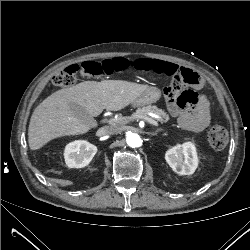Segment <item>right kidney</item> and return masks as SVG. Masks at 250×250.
Returning <instances> with one entry per match:
<instances>
[{
    "label": "right kidney",
    "instance_id": "1",
    "mask_svg": "<svg viewBox=\"0 0 250 250\" xmlns=\"http://www.w3.org/2000/svg\"><path fill=\"white\" fill-rule=\"evenodd\" d=\"M96 153L95 145L85 140H76L65 147L64 158L68 167L82 168L91 162Z\"/></svg>",
    "mask_w": 250,
    "mask_h": 250
}]
</instances>
